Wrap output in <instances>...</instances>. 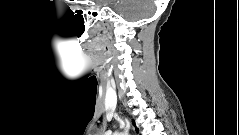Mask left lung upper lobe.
Returning a JSON list of instances; mask_svg holds the SVG:
<instances>
[{"mask_svg": "<svg viewBox=\"0 0 239 135\" xmlns=\"http://www.w3.org/2000/svg\"><path fill=\"white\" fill-rule=\"evenodd\" d=\"M133 124L135 125V122L133 121ZM136 131L138 132V128H136Z\"/></svg>", "mask_w": 239, "mask_h": 135, "instance_id": "1", "label": "left lung upper lobe"}]
</instances>
